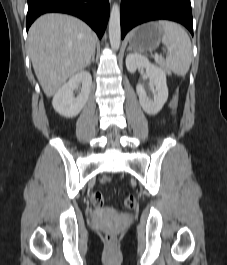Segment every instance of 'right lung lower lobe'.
Returning a JSON list of instances; mask_svg holds the SVG:
<instances>
[{
  "mask_svg": "<svg viewBox=\"0 0 227 265\" xmlns=\"http://www.w3.org/2000/svg\"><path fill=\"white\" fill-rule=\"evenodd\" d=\"M61 12L79 17L102 37L109 18L108 0H28L26 29L40 15Z\"/></svg>",
  "mask_w": 227,
  "mask_h": 265,
  "instance_id": "right-lung-lower-lobe-1",
  "label": "right lung lower lobe"
}]
</instances>
